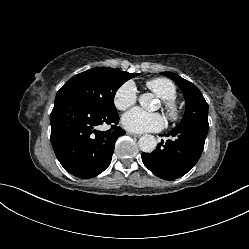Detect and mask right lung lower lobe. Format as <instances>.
Here are the masks:
<instances>
[{"label": "right lung lower lobe", "instance_id": "1", "mask_svg": "<svg viewBox=\"0 0 249 249\" xmlns=\"http://www.w3.org/2000/svg\"><path fill=\"white\" fill-rule=\"evenodd\" d=\"M118 122L117 111H97L74 97L56 96L50 116L51 143L64 169L85 179L103 172L111 163L117 138L125 134ZM103 123L112 127L96 130Z\"/></svg>", "mask_w": 249, "mask_h": 249}]
</instances>
